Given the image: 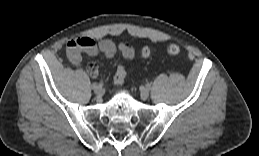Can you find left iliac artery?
I'll return each mask as SVG.
<instances>
[{
    "label": "left iliac artery",
    "instance_id": "left-iliac-artery-1",
    "mask_svg": "<svg viewBox=\"0 0 259 156\" xmlns=\"http://www.w3.org/2000/svg\"><path fill=\"white\" fill-rule=\"evenodd\" d=\"M147 88L150 89V88H151V85H150V84H147Z\"/></svg>",
    "mask_w": 259,
    "mask_h": 156
}]
</instances>
